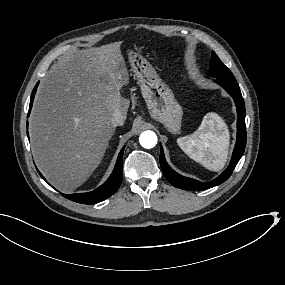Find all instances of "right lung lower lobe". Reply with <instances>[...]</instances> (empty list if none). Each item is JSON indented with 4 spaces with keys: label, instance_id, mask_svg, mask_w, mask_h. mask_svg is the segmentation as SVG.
I'll list each match as a JSON object with an SVG mask.
<instances>
[{
    "label": "right lung lower lobe",
    "instance_id": "1",
    "mask_svg": "<svg viewBox=\"0 0 285 285\" xmlns=\"http://www.w3.org/2000/svg\"><path fill=\"white\" fill-rule=\"evenodd\" d=\"M39 82L36 84V86L33 89V92L31 94V100H30V106H29V112L33 104V99L37 90ZM123 151L124 147L120 151L118 155V159L115 165V168L110 175V177L107 179V181L102 184L100 187H98L96 190L87 192V193H77V194H62L65 198L72 200L77 203L82 204H95L98 202H101L111 195H113L119 188L122 182L123 177V169H122V159H123ZM40 176L45 180V178L42 176V174L38 171ZM46 181V180H45Z\"/></svg>",
    "mask_w": 285,
    "mask_h": 285
}]
</instances>
